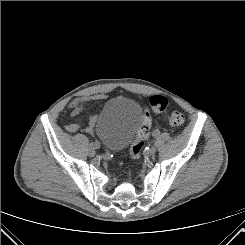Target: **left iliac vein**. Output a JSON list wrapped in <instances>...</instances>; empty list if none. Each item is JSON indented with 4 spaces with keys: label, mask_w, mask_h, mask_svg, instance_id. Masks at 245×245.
<instances>
[{
    "label": "left iliac vein",
    "mask_w": 245,
    "mask_h": 245,
    "mask_svg": "<svg viewBox=\"0 0 245 245\" xmlns=\"http://www.w3.org/2000/svg\"><path fill=\"white\" fill-rule=\"evenodd\" d=\"M156 153V147L155 146H152L150 149H149V154L150 155H154Z\"/></svg>",
    "instance_id": "1"
}]
</instances>
